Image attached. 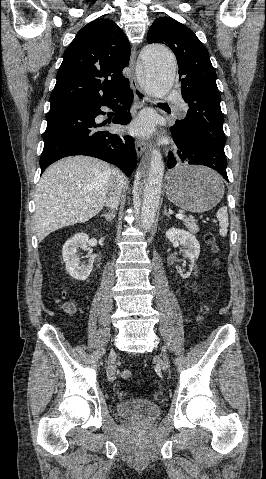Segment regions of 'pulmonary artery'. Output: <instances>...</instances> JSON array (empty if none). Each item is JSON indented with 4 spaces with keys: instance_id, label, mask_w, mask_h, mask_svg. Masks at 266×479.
I'll use <instances>...</instances> for the list:
<instances>
[{
    "instance_id": "1",
    "label": "pulmonary artery",
    "mask_w": 266,
    "mask_h": 479,
    "mask_svg": "<svg viewBox=\"0 0 266 479\" xmlns=\"http://www.w3.org/2000/svg\"><path fill=\"white\" fill-rule=\"evenodd\" d=\"M178 97V92L175 89H170L168 92L165 93L164 98L167 101L174 100ZM186 110V105L184 103L181 104V111L184 113Z\"/></svg>"
}]
</instances>
